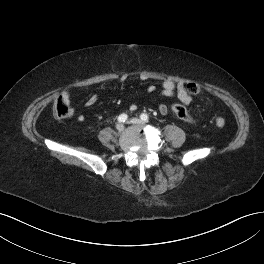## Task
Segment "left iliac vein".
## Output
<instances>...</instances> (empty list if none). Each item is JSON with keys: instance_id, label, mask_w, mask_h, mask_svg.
<instances>
[{"instance_id": "left-iliac-vein-1", "label": "left iliac vein", "mask_w": 264, "mask_h": 264, "mask_svg": "<svg viewBox=\"0 0 264 264\" xmlns=\"http://www.w3.org/2000/svg\"><path fill=\"white\" fill-rule=\"evenodd\" d=\"M129 122L132 124H143V121L138 118H132Z\"/></svg>"}]
</instances>
